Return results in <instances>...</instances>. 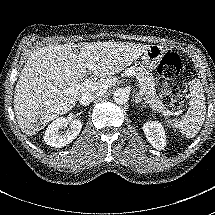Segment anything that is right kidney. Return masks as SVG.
<instances>
[{"mask_svg":"<svg viewBox=\"0 0 215 215\" xmlns=\"http://www.w3.org/2000/svg\"><path fill=\"white\" fill-rule=\"evenodd\" d=\"M67 126H69V129H67ZM82 126V120L79 118H57L45 131L44 141L52 147H64L79 135ZM63 129L64 131L62 132Z\"/></svg>","mask_w":215,"mask_h":215,"instance_id":"ca27d5eb","label":"right kidney"}]
</instances>
